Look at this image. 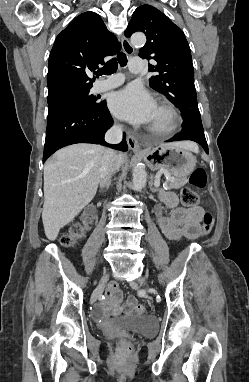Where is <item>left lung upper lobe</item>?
I'll list each match as a JSON object with an SVG mask.
<instances>
[{
    "mask_svg": "<svg viewBox=\"0 0 249 382\" xmlns=\"http://www.w3.org/2000/svg\"><path fill=\"white\" fill-rule=\"evenodd\" d=\"M137 31L147 37L139 56L156 62L149 65V71L157 73L150 87L178 107L184 121H201L190 47L182 30L158 9L142 5L134 11L125 36Z\"/></svg>",
    "mask_w": 249,
    "mask_h": 382,
    "instance_id": "1",
    "label": "left lung upper lobe"
}]
</instances>
